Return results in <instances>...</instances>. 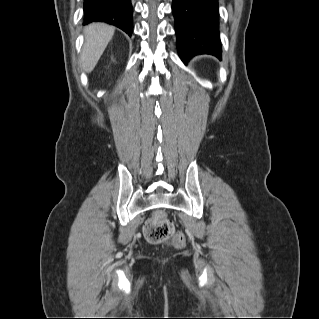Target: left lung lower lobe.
<instances>
[{
	"mask_svg": "<svg viewBox=\"0 0 319 319\" xmlns=\"http://www.w3.org/2000/svg\"><path fill=\"white\" fill-rule=\"evenodd\" d=\"M172 11L183 62L199 54L221 59L218 0H173Z\"/></svg>",
	"mask_w": 319,
	"mask_h": 319,
	"instance_id": "0a47b994",
	"label": "left lung lower lobe"
}]
</instances>
